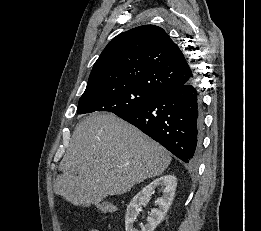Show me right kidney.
Returning a JSON list of instances; mask_svg holds the SVG:
<instances>
[{
    "mask_svg": "<svg viewBox=\"0 0 261 231\" xmlns=\"http://www.w3.org/2000/svg\"><path fill=\"white\" fill-rule=\"evenodd\" d=\"M159 186L163 189V196L155 202L157 208L151 210L147 224H141V231H154L157 225L163 220L173 201L177 186V178L174 175H164L155 179L134 196L126 211V231H138L133 224L141 210L140 206L146 205L149 202L155 188Z\"/></svg>",
    "mask_w": 261,
    "mask_h": 231,
    "instance_id": "obj_1",
    "label": "right kidney"
}]
</instances>
